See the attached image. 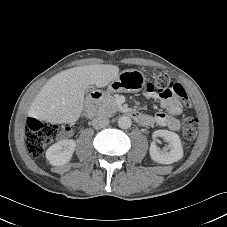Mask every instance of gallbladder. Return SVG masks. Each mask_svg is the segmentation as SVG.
Instances as JSON below:
<instances>
[{"label": "gallbladder", "instance_id": "1", "mask_svg": "<svg viewBox=\"0 0 227 227\" xmlns=\"http://www.w3.org/2000/svg\"><path fill=\"white\" fill-rule=\"evenodd\" d=\"M94 90V87L93 86H89L86 90V92H89V91H93Z\"/></svg>", "mask_w": 227, "mask_h": 227}]
</instances>
